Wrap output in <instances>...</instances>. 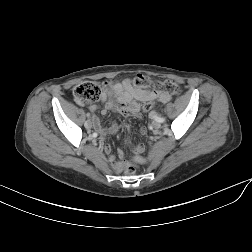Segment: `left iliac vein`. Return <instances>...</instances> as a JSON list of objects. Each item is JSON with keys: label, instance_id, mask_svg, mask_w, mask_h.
Here are the masks:
<instances>
[{"label": "left iliac vein", "instance_id": "4c4485c4", "mask_svg": "<svg viewBox=\"0 0 252 252\" xmlns=\"http://www.w3.org/2000/svg\"><path fill=\"white\" fill-rule=\"evenodd\" d=\"M152 126L154 129H159L161 127V124L158 121H153Z\"/></svg>", "mask_w": 252, "mask_h": 252}]
</instances>
